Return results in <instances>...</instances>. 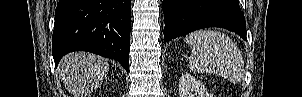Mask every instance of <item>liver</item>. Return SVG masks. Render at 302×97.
Instances as JSON below:
<instances>
[{
	"label": "liver",
	"instance_id": "obj_1",
	"mask_svg": "<svg viewBox=\"0 0 302 97\" xmlns=\"http://www.w3.org/2000/svg\"><path fill=\"white\" fill-rule=\"evenodd\" d=\"M58 71L73 97H87L107 76L109 63L92 53H71L63 57Z\"/></svg>",
	"mask_w": 302,
	"mask_h": 97
}]
</instances>
